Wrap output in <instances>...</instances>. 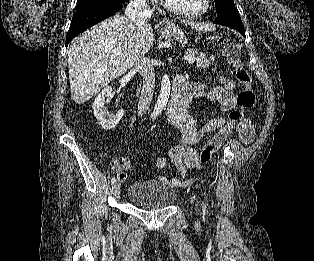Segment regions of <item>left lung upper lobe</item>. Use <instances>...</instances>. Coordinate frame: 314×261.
Listing matches in <instances>:
<instances>
[{"instance_id":"obj_1","label":"left lung upper lobe","mask_w":314,"mask_h":261,"mask_svg":"<svg viewBox=\"0 0 314 261\" xmlns=\"http://www.w3.org/2000/svg\"><path fill=\"white\" fill-rule=\"evenodd\" d=\"M217 18L213 22L231 28H243L233 0H214Z\"/></svg>"}]
</instances>
